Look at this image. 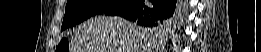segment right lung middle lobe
Listing matches in <instances>:
<instances>
[{
  "mask_svg": "<svg viewBox=\"0 0 261 52\" xmlns=\"http://www.w3.org/2000/svg\"><path fill=\"white\" fill-rule=\"evenodd\" d=\"M124 0H68L61 30L72 27L87 18L101 14L111 9ZM169 25L168 21L158 23L157 28H165Z\"/></svg>",
  "mask_w": 261,
  "mask_h": 52,
  "instance_id": "obj_1",
  "label": "right lung middle lobe"
}]
</instances>
